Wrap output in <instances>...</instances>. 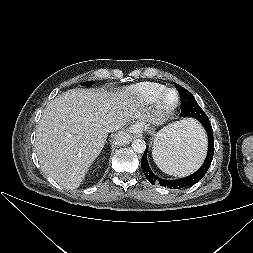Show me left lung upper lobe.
<instances>
[{"mask_svg": "<svg viewBox=\"0 0 253 253\" xmlns=\"http://www.w3.org/2000/svg\"><path fill=\"white\" fill-rule=\"evenodd\" d=\"M175 87L179 92L181 98L180 116L195 118L196 113H199L200 111L203 110L200 108L195 98L188 90H186L185 88L181 87L178 84H175Z\"/></svg>", "mask_w": 253, "mask_h": 253, "instance_id": "5c2ea615", "label": "left lung upper lobe"}]
</instances>
